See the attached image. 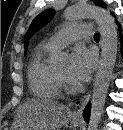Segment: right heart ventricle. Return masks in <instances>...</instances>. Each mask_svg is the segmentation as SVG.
Segmentation results:
<instances>
[{"instance_id": "1", "label": "right heart ventricle", "mask_w": 123, "mask_h": 130, "mask_svg": "<svg viewBox=\"0 0 123 130\" xmlns=\"http://www.w3.org/2000/svg\"><path fill=\"white\" fill-rule=\"evenodd\" d=\"M56 51L48 43L40 44L28 67V81L32 94L40 99H55L60 94V84L56 70L49 62L50 56Z\"/></svg>"}]
</instances>
